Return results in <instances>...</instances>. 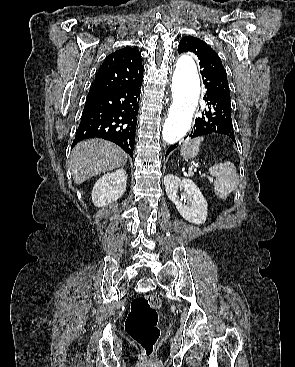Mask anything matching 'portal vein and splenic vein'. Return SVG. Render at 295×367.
Segmentation results:
<instances>
[{"instance_id":"portal-vein-and-splenic-vein-1","label":"portal vein and splenic vein","mask_w":295,"mask_h":367,"mask_svg":"<svg viewBox=\"0 0 295 367\" xmlns=\"http://www.w3.org/2000/svg\"><path fill=\"white\" fill-rule=\"evenodd\" d=\"M202 176L207 178L209 182H213V177H211L210 175L203 173Z\"/></svg>"}]
</instances>
